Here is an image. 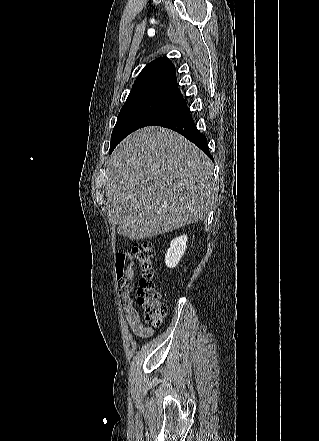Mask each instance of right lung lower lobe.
Listing matches in <instances>:
<instances>
[{
  "label": "right lung lower lobe",
  "mask_w": 319,
  "mask_h": 441,
  "mask_svg": "<svg viewBox=\"0 0 319 441\" xmlns=\"http://www.w3.org/2000/svg\"><path fill=\"white\" fill-rule=\"evenodd\" d=\"M151 125L166 127L182 134L213 160L208 148L207 139L197 130L187 107L186 99H182L179 103L173 105L147 124V126Z\"/></svg>",
  "instance_id": "obj_1"
}]
</instances>
